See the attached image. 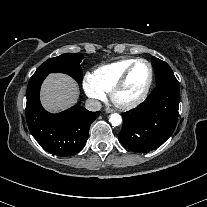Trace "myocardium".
<instances>
[{"label": "myocardium", "mask_w": 207, "mask_h": 207, "mask_svg": "<svg viewBox=\"0 0 207 207\" xmlns=\"http://www.w3.org/2000/svg\"><path fill=\"white\" fill-rule=\"evenodd\" d=\"M139 63H144L148 66L149 78H148L147 84L144 87L143 91L140 93V95L138 97H136L135 99H133L131 101H128V102L121 101L118 98V94L121 91V89L125 86V84H126L128 78H129L132 70L134 69V67ZM153 78H154V74H153V68H152L151 63L149 61L145 60V59H142V58L135 59L133 61V63H131L129 65V67L124 71V73L121 75V77L114 84V86H113V88L110 92V97H111L112 102L118 108L123 109V110H129V109H132V108L138 106L147 97V95H148V93H149V91L152 87V84H153Z\"/></svg>", "instance_id": "myocardium-1"}]
</instances>
